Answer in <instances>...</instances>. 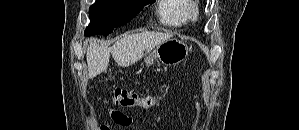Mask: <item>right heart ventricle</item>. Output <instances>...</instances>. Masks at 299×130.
<instances>
[{
	"mask_svg": "<svg viewBox=\"0 0 299 130\" xmlns=\"http://www.w3.org/2000/svg\"><path fill=\"white\" fill-rule=\"evenodd\" d=\"M188 0H162L158 7L160 21L168 26L181 27L188 22Z\"/></svg>",
	"mask_w": 299,
	"mask_h": 130,
	"instance_id": "obj_1",
	"label": "right heart ventricle"
}]
</instances>
